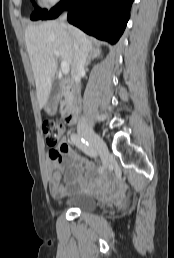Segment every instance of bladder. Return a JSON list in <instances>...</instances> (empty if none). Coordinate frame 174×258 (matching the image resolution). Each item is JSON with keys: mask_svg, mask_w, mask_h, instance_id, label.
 <instances>
[{"mask_svg": "<svg viewBox=\"0 0 174 258\" xmlns=\"http://www.w3.org/2000/svg\"><path fill=\"white\" fill-rule=\"evenodd\" d=\"M62 204L80 212L92 213L98 209V200L91 194L85 192L75 193L64 200Z\"/></svg>", "mask_w": 174, "mask_h": 258, "instance_id": "31cf9c89", "label": "bladder"}]
</instances>
